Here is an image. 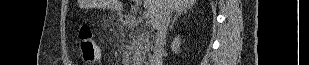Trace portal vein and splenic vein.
<instances>
[{"instance_id": "obj_1", "label": "portal vein and splenic vein", "mask_w": 309, "mask_h": 65, "mask_svg": "<svg viewBox=\"0 0 309 65\" xmlns=\"http://www.w3.org/2000/svg\"><path fill=\"white\" fill-rule=\"evenodd\" d=\"M137 3H140V1H137ZM142 17H143L144 19H148V17H149V12H148V11H144Z\"/></svg>"}]
</instances>
